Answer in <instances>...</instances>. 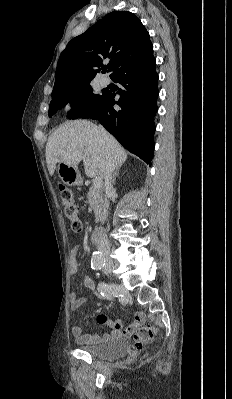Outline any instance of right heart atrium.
<instances>
[{"label":"right heart atrium","instance_id":"obj_1","mask_svg":"<svg viewBox=\"0 0 232 399\" xmlns=\"http://www.w3.org/2000/svg\"><path fill=\"white\" fill-rule=\"evenodd\" d=\"M80 112L81 108L77 105H67L64 107V113L70 119L76 118L80 114Z\"/></svg>","mask_w":232,"mask_h":399}]
</instances>
